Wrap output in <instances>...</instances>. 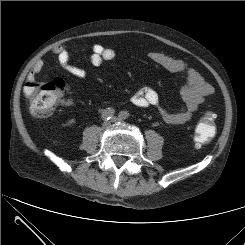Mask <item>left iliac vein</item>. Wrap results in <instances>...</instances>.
Wrapping results in <instances>:
<instances>
[{"mask_svg": "<svg viewBox=\"0 0 245 245\" xmlns=\"http://www.w3.org/2000/svg\"><path fill=\"white\" fill-rule=\"evenodd\" d=\"M114 122H122V118H120V117L114 118Z\"/></svg>", "mask_w": 245, "mask_h": 245, "instance_id": "left-iliac-vein-1", "label": "left iliac vein"}]
</instances>
